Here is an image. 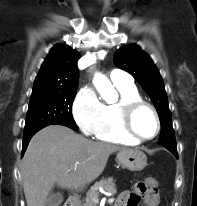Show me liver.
<instances>
[{"label": "liver", "mask_w": 197, "mask_h": 206, "mask_svg": "<svg viewBox=\"0 0 197 206\" xmlns=\"http://www.w3.org/2000/svg\"><path fill=\"white\" fill-rule=\"evenodd\" d=\"M121 150L128 149L91 141L65 126L43 128L31 139L21 164L27 206H45L56 183L66 189L91 183L109 156Z\"/></svg>", "instance_id": "liver-1"}]
</instances>
